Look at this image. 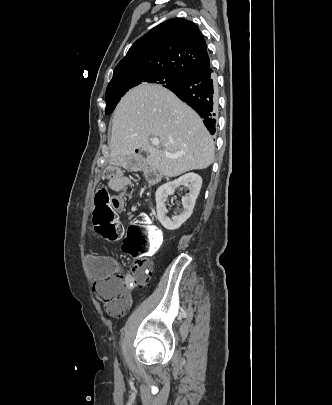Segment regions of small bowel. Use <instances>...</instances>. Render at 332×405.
Instances as JSON below:
<instances>
[{"label":"small bowel","mask_w":332,"mask_h":405,"mask_svg":"<svg viewBox=\"0 0 332 405\" xmlns=\"http://www.w3.org/2000/svg\"><path fill=\"white\" fill-rule=\"evenodd\" d=\"M126 175H127L126 168L104 169L105 177L116 178L112 179L109 182V186L112 190L116 191L111 193V209L112 211H116L118 215H125L127 213V208L124 206L126 204V193L123 192V190L124 187L128 184V179L127 178H124L122 180L117 179L119 177H126ZM86 261L92 276L98 280L107 277L119 267L117 259L111 255L87 253ZM126 307L127 302L122 310H124Z\"/></svg>","instance_id":"c3829d8e"}]
</instances>
